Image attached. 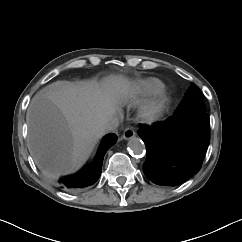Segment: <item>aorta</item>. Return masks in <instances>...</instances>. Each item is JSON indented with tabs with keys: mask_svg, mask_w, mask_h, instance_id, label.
<instances>
[{
	"mask_svg": "<svg viewBox=\"0 0 242 242\" xmlns=\"http://www.w3.org/2000/svg\"><path fill=\"white\" fill-rule=\"evenodd\" d=\"M128 150L135 155H141L145 151V145L144 142L137 138V137H132L128 141Z\"/></svg>",
	"mask_w": 242,
	"mask_h": 242,
	"instance_id": "762f6f07",
	"label": "aorta"
}]
</instances>
